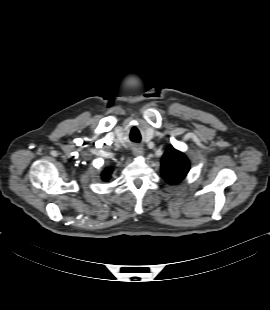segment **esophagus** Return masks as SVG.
I'll list each match as a JSON object with an SVG mask.
<instances>
[{
  "mask_svg": "<svg viewBox=\"0 0 270 310\" xmlns=\"http://www.w3.org/2000/svg\"><path fill=\"white\" fill-rule=\"evenodd\" d=\"M132 151L135 156H142L144 153L143 149L140 146H134Z\"/></svg>",
  "mask_w": 270,
  "mask_h": 310,
  "instance_id": "1",
  "label": "esophagus"
}]
</instances>
